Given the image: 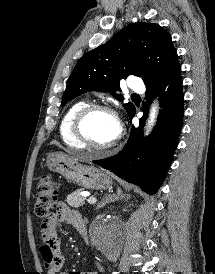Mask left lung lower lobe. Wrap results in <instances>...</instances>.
<instances>
[{"label":"left lung lower lobe","instance_id":"1","mask_svg":"<svg viewBox=\"0 0 215 274\" xmlns=\"http://www.w3.org/2000/svg\"><path fill=\"white\" fill-rule=\"evenodd\" d=\"M154 96L160 98L157 124L147 141L143 126L147 109ZM146 101L139 127H132L128 143L116 155L93 163L110 170L121 179L155 194L170 166L183 122V91L180 65L158 81L146 84ZM135 110L129 115L130 120Z\"/></svg>","mask_w":215,"mask_h":274}]
</instances>
